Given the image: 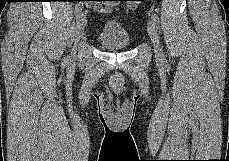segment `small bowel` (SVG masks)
Returning a JSON list of instances; mask_svg holds the SVG:
<instances>
[{
	"label": "small bowel",
	"instance_id": "c3829d8e",
	"mask_svg": "<svg viewBox=\"0 0 229 161\" xmlns=\"http://www.w3.org/2000/svg\"><path fill=\"white\" fill-rule=\"evenodd\" d=\"M116 2L117 1H104L103 2L104 10L110 11V10L116 8V6H117Z\"/></svg>",
	"mask_w": 229,
	"mask_h": 161
}]
</instances>
